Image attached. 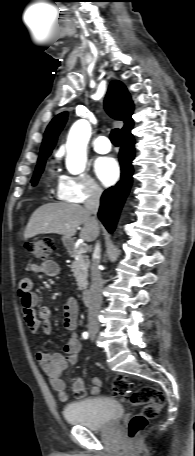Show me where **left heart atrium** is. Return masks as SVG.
<instances>
[{
    "mask_svg": "<svg viewBox=\"0 0 195 456\" xmlns=\"http://www.w3.org/2000/svg\"><path fill=\"white\" fill-rule=\"evenodd\" d=\"M94 172L105 186H110L118 179L119 166L114 158L101 157L94 163Z\"/></svg>",
    "mask_w": 195,
    "mask_h": 456,
    "instance_id": "left-heart-atrium-1",
    "label": "left heart atrium"
}]
</instances>
